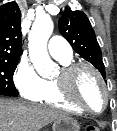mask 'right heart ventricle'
I'll list each match as a JSON object with an SVG mask.
<instances>
[{
	"label": "right heart ventricle",
	"mask_w": 117,
	"mask_h": 131,
	"mask_svg": "<svg viewBox=\"0 0 117 131\" xmlns=\"http://www.w3.org/2000/svg\"><path fill=\"white\" fill-rule=\"evenodd\" d=\"M63 66H66L71 63V59L67 60H58ZM39 102L50 105L53 107L61 108L74 113H82L83 111L77 108L76 106L69 103L64 97L61 95L56 79L45 80V87L38 98Z\"/></svg>",
	"instance_id": "right-heart-ventricle-1"
}]
</instances>
